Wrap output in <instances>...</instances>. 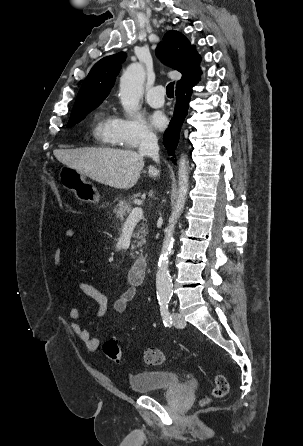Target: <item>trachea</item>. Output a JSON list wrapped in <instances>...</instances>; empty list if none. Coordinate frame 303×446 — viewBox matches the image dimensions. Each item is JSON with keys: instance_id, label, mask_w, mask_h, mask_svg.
<instances>
[{"instance_id": "trachea-1", "label": "trachea", "mask_w": 303, "mask_h": 446, "mask_svg": "<svg viewBox=\"0 0 303 446\" xmlns=\"http://www.w3.org/2000/svg\"><path fill=\"white\" fill-rule=\"evenodd\" d=\"M166 94L168 97L174 96V82H170L166 87Z\"/></svg>"}]
</instances>
